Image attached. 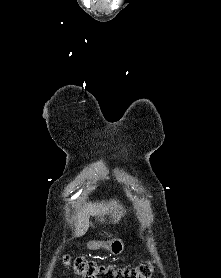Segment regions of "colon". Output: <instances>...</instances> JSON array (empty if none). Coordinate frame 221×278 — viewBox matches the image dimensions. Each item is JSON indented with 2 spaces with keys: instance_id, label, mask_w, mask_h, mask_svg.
Here are the masks:
<instances>
[{
  "instance_id": "obj_1",
  "label": "colon",
  "mask_w": 221,
  "mask_h": 278,
  "mask_svg": "<svg viewBox=\"0 0 221 278\" xmlns=\"http://www.w3.org/2000/svg\"><path fill=\"white\" fill-rule=\"evenodd\" d=\"M64 262L82 278H151L153 266L143 263L136 267L100 265L84 258L64 257Z\"/></svg>"
}]
</instances>
